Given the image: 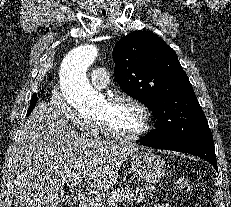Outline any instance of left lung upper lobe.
<instances>
[{
	"label": "left lung upper lobe",
	"instance_id": "obj_1",
	"mask_svg": "<svg viewBox=\"0 0 231 207\" xmlns=\"http://www.w3.org/2000/svg\"><path fill=\"white\" fill-rule=\"evenodd\" d=\"M120 88L152 112L156 129L143 138L158 145L212 137L206 116L175 51L149 31L123 37L113 48Z\"/></svg>",
	"mask_w": 231,
	"mask_h": 207
}]
</instances>
